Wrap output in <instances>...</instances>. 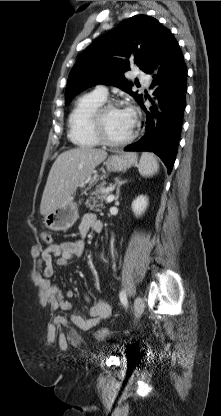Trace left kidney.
<instances>
[{"mask_svg":"<svg viewBox=\"0 0 221 416\" xmlns=\"http://www.w3.org/2000/svg\"><path fill=\"white\" fill-rule=\"evenodd\" d=\"M147 206L148 198L146 196L140 195L132 202L131 208L135 216L138 217L145 212Z\"/></svg>","mask_w":221,"mask_h":416,"instance_id":"1","label":"left kidney"}]
</instances>
